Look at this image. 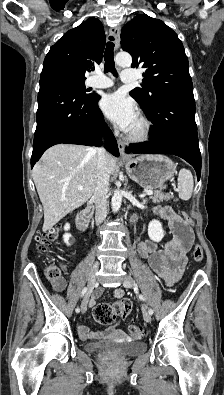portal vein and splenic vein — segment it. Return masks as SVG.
<instances>
[{
	"label": "portal vein and splenic vein",
	"instance_id": "1",
	"mask_svg": "<svg viewBox=\"0 0 224 395\" xmlns=\"http://www.w3.org/2000/svg\"><path fill=\"white\" fill-rule=\"evenodd\" d=\"M78 190H83V187H82V186H78ZM144 194H146V195H152L153 192H152L151 190H145V191H144Z\"/></svg>",
	"mask_w": 224,
	"mask_h": 395
}]
</instances>
